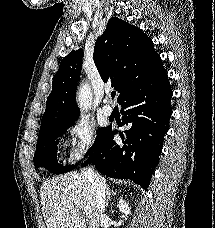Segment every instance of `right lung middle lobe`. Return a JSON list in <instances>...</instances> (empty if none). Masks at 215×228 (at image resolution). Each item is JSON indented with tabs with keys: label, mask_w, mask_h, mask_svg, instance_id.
Here are the masks:
<instances>
[{
	"label": "right lung middle lobe",
	"mask_w": 215,
	"mask_h": 228,
	"mask_svg": "<svg viewBox=\"0 0 215 228\" xmlns=\"http://www.w3.org/2000/svg\"><path fill=\"white\" fill-rule=\"evenodd\" d=\"M74 121L52 123L40 128L39 137L34 156V165L36 168L45 167L51 173L61 174L71 171L75 166L63 167L56 161L57 158V144L59 137H61ZM110 127L100 128L97 132L96 141L93 146L86 153L90 155L104 140L105 135Z\"/></svg>",
	"instance_id": "dd1d6c3e"
}]
</instances>
